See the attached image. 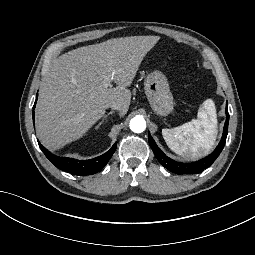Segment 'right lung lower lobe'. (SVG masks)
I'll use <instances>...</instances> for the list:
<instances>
[{
  "instance_id": "1",
  "label": "right lung lower lobe",
  "mask_w": 255,
  "mask_h": 255,
  "mask_svg": "<svg viewBox=\"0 0 255 255\" xmlns=\"http://www.w3.org/2000/svg\"><path fill=\"white\" fill-rule=\"evenodd\" d=\"M38 97V95H37ZM37 101V99H36ZM35 101V104H36ZM35 104L33 109L35 108ZM34 119V111H33ZM39 143V142H38ZM39 146L45 156L59 169L69 172L74 175H91L99 172L109 161L113 153L115 152L117 143H115L109 151L105 154L90 159V160H76L72 158L60 157L50 153L40 143Z\"/></svg>"
}]
</instances>
